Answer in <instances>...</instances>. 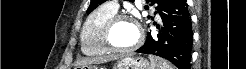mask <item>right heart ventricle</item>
<instances>
[{
    "mask_svg": "<svg viewBox=\"0 0 246 69\" xmlns=\"http://www.w3.org/2000/svg\"><path fill=\"white\" fill-rule=\"evenodd\" d=\"M117 10L108 4L92 11L84 22L81 33V49L87 56H105L110 53L103 42L104 26Z\"/></svg>",
    "mask_w": 246,
    "mask_h": 69,
    "instance_id": "1",
    "label": "right heart ventricle"
}]
</instances>
